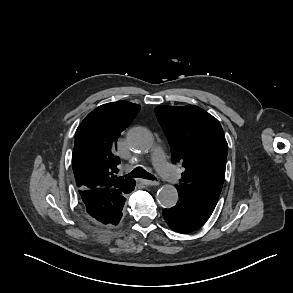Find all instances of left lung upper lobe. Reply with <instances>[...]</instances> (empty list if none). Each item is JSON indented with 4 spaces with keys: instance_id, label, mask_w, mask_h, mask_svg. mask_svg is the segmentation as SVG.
<instances>
[{
    "instance_id": "left-lung-upper-lobe-1",
    "label": "left lung upper lobe",
    "mask_w": 293,
    "mask_h": 293,
    "mask_svg": "<svg viewBox=\"0 0 293 293\" xmlns=\"http://www.w3.org/2000/svg\"><path fill=\"white\" fill-rule=\"evenodd\" d=\"M155 113L170 144L172 162H180L185 169L178 193L214 210L225 178L228 152L219 121L193 105L158 106Z\"/></svg>"
}]
</instances>
